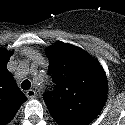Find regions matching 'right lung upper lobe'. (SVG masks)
<instances>
[{
  "label": "right lung upper lobe",
  "instance_id": "obj_1",
  "mask_svg": "<svg viewBox=\"0 0 125 125\" xmlns=\"http://www.w3.org/2000/svg\"><path fill=\"white\" fill-rule=\"evenodd\" d=\"M11 55L12 52L0 48V125L10 122L26 101V96L7 69Z\"/></svg>",
  "mask_w": 125,
  "mask_h": 125
}]
</instances>
